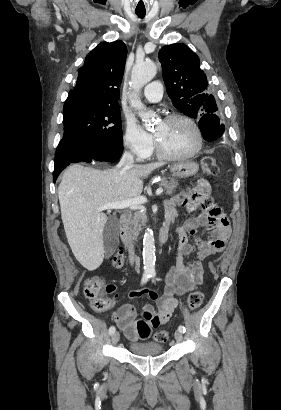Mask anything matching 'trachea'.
<instances>
[{"label":"trachea","mask_w":281,"mask_h":410,"mask_svg":"<svg viewBox=\"0 0 281 410\" xmlns=\"http://www.w3.org/2000/svg\"><path fill=\"white\" fill-rule=\"evenodd\" d=\"M136 15H137L139 18H144V17H145V12H136Z\"/></svg>","instance_id":"3493384b"}]
</instances>
